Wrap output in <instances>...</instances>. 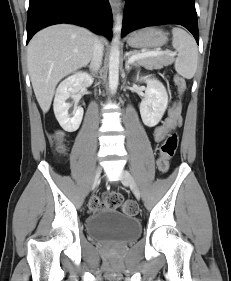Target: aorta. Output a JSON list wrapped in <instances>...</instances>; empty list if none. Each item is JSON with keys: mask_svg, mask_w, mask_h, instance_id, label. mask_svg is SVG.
<instances>
[{"mask_svg": "<svg viewBox=\"0 0 231 281\" xmlns=\"http://www.w3.org/2000/svg\"><path fill=\"white\" fill-rule=\"evenodd\" d=\"M121 33V16H117V22L113 31V40L109 56V87L112 94L116 93L119 83V40Z\"/></svg>", "mask_w": 231, "mask_h": 281, "instance_id": "1", "label": "aorta"}]
</instances>
